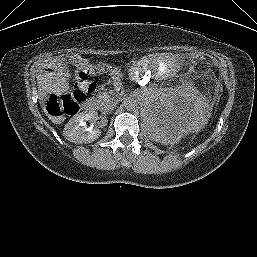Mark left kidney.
Returning <instances> with one entry per match:
<instances>
[{
  "label": "left kidney",
  "instance_id": "obj_1",
  "mask_svg": "<svg viewBox=\"0 0 257 257\" xmlns=\"http://www.w3.org/2000/svg\"><path fill=\"white\" fill-rule=\"evenodd\" d=\"M206 103L194 89L158 91L146 103L145 119L150 137L162 144H174L190 132L201 130L206 121Z\"/></svg>",
  "mask_w": 257,
  "mask_h": 257
}]
</instances>
